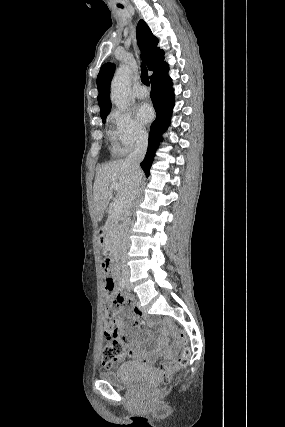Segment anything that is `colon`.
I'll return each mask as SVG.
<instances>
[{
	"label": "colon",
	"instance_id": "obj_1",
	"mask_svg": "<svg viewBox=\"0 0 285 427\" xmlns=\"http://www.w3.org/2000/svg\"><path fill=\"white\" fill-rule=\"evenodd\" d=\"M111 266L112 265L110 260L108 259L102 260L101 269L104 277V285H105V291H106V297H105L106 315L104 318L106 344L101 353V362L103 366L106 368L113 367V365L118 361V359L122 355H124L127 351V347L121 341H119L115 336L116 314L120 309L122 302L119 299V296L117 294L116 282L112 277ZM169 324L171 326L173 325L172 322H169ZM176 336L178 338L180 337L178 334H176ZM176 351L177 349L170 350L165 353V356L171 357L174 355ZM188 354H189V351L187 349H184L181 351V353L177 356V359L175 362L176 368H182L186 365ZM172 368L173 366L171 365L170 362L164 361L162 363L164 378L160 383L159 387H154L150 389V392H149L150 395L156 396L161 390H166L168 388L169 381H170L169 376Z\"/></svg>",
	"mask_w": 285,
	"mask_h": 427
}]
</instances>
